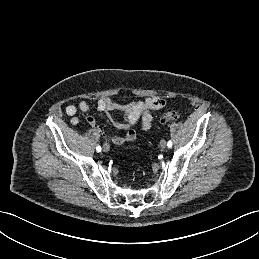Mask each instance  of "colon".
Masks as SVG:
<instances>
[{
  "mask_svg": "<svg viewBox=\"0 0 259 259\" xmlns=\"http://www.w3.org/2000/svg\"><path fill=\"white\" fill-rule=\"evenodd\" d=\"M181 114L177 111H168L163 114L161 121L162 123H169L172 121L179 120L181 118Z\"/></svg>",
  "mask_w": 259,
  "mask_h": 259,
  "instance_id": "1",
  "label": "colon"
}]
</instances>
